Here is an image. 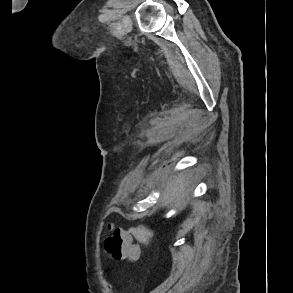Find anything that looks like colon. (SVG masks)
Returning a JSON list of instances; mask_svg holds the SVG:
<instances>
[{
  "label": "colon",
  "instance_id": "5ec220e1",
  "mask_svg": "<svg viewBox=\"0 0 293 293\" xmlns=\"http://www.w3.org/2000/svg\"><path fill=\"white\" fill-rule=\"evenodd\" d=\"M111 231L105 240L106 250L116 259L137 260L141 254V247L134 244L128 232L115 228L113 224L108 225Z\"/></svg>",
  "mask_w": 293,
  "mask_h": 293
}]
</instances>
